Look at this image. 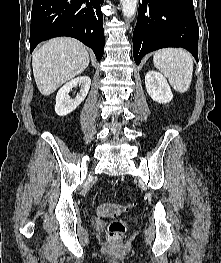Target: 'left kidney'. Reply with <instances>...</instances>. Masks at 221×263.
Listing matches in <instances>:
<instances>
[{
	"mask_svg": "<svg viewBox=\"0 0 221 263\" xmlns=\"http://www.w3.org/2000/svg\"><path fill=\"white\" fill-rule=\"evenodd\" d=\"M145 85L149 96L156 102L166 104L173 99V94L167 80L157 71H148Z\"/></svg>",
	"mask_w": 221,
	"mask_h": 263,
	"instance_id": "5707ae66",
	"label": "left kidney"
}]
</instances>
